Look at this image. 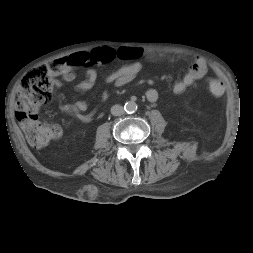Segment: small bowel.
Listing matches in <instances>:
<instances>
[{
  "label": "small bowel",
  "instance_id": "obj_1",
  "mask_svg": "<svg viewBox=\"0 0 253 253\" xmlns=\"http://www.w3.org/2000/svg\"><path fill=\"white\" fill-rule=\"evenodd\" d=\"M144 54V50L137 47L114 49L106 46L94 48L89 52H77L65 58L69 62V69L62 77L65 82L72 83L76 80V70L82 69L84 78L75 84L74 90L78 96H83L94 87L98 78L96 69L98 66L108 64L114 60H124L127 61L126 64L108 74L104 79L106 84L121 87L132 82L137 77L142 68L140 58ZM146 58L157 60L161 56L147 53ZM207 71L206 61L201 57H194L192 64L184 75L172 85V92L174 94L183 93L189 86L202 79L207 74ZM57 85H61V82L58 81ZM146 98L150 102H156L159 98V93L156 89H148ZM60 109L84 122L90 121L94 115L93 112L87 113L88 104L79 97H75L69 104L61 105Z\"/></svg>",
  "mask_w": 253,
  "mask_h": 253
}]
</instances>
